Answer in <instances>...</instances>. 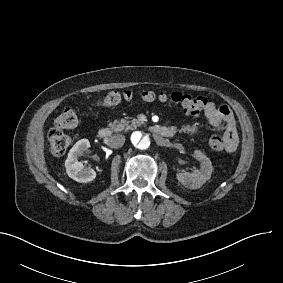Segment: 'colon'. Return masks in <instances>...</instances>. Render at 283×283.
Returning <instances> with one entry per match:
<instances>
[{
	"label": "colon",
	"mask_w": 283,
	"mask_h": 283,
	"mask_svg": "<svg viewBox=\"0 0 283 283\" xmlns=\"http://www.w3.org/2000/svg\"><path fill=\"white\" fill-rule=\"evenodd\" d=\"M135 95L130 91L123 93L113 91L105 98L97 103L99 107L115 106L121 102L133 101ZM142 100L145 102L158 101L160 103L172 102L177 105L187 116L199 115L207 104V99L204 96H194L184 93L175 92L168 94L165 92L146 91L141 94ZM79 118L76 110L73 107L64 108L57 120L56 128L49 132L48 149L52 154L60 155L65 153L72 144L71 136L64 130L74 128L78 125ZM210 147L215 152H221L225 148L223 133L218 130L210 138Z\"/></svg>",
	"instance_id": "colon-1"
}]
</instances>
